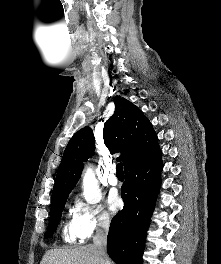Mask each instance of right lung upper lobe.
Wrapping results in <instances>:
<instances>
[{"label": "right lung upper lobe", "mask_w": 221, "mask_h": 264, "mask_svg": "<svg viewBox=\"0 0 221 264\" xmlns=\"http://www.w3.org/2000/svg\"><path fill=\"white\" fill-rule=\"evenodd\" d=\"M103 138L111 154L121 152L117 159L123 161L125 170L146 163L161 152L150 121L125 98L115 101V112L104 125ZM94 149L90 127H84L73 135L58 168L52 199L71 192L80 179L82 162L92 156Z\"/></svg>", "instance_id": "1"}]
</instances>
